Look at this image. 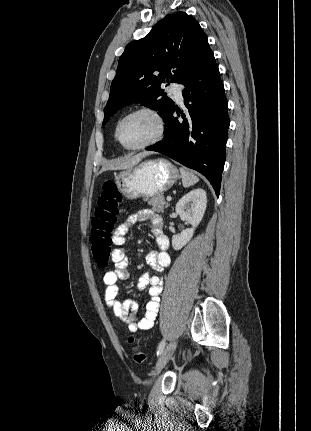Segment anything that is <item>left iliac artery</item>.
I'll list each match as a JSON object with an SVG mask.
<instances>
[{
  "instance_id": "1",
  "label": "left iliac artery",
  "mask_w": 311,
  "mask_h": 431,
  "mask_svg": "<svg viewBox=\"0 0 311 431\" xmlns=\"http://www.w3.org/2000/svg\"><path fill=\"white\" fill-rule=\"evenodd\" d=\"M164 347H165V340H162L157 350V356H159L163 352Z\"/></svg>"
}]
</instances>
